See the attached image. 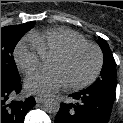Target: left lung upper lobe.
Segmentation results:
<instances>
[{
	"mask_svg": "<svg viewBox=\"0 0 123 123\" xmlns=\"http://www.w3.org/2000/svg\"><path fill=\"white\" fill-rule=\"evenodd\" d=\"M97 43L100 45L104 55L101 77L87 89L103 90L114 93L116 89V66L112 52L104 39L99 37Z\"/></svg>",
	"mask_w": 123,
	"mask_h": 123,
	"instance_id": "left-lung-upper-lobe-1",
	"label": "left lung upper lobe"
}]
</instances>
